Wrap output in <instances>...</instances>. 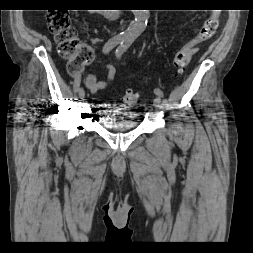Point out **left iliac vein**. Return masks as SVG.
<instances>
[{"mask_svg": "<svg viewBox=\"0 0 253 253\" xmlns=\"http://www.w3.org/2000/svg\"><path fill=\"white\" fill-rule=\"evenodd\" d=\"M153 106L155 109H159L161 107V99L160 97H156L153 101Z\"/></svg>", "mask_w": 253, "mask_h": 253, "instance_id": "obj_1", "label": "left iliac vein"}]
</instances>
